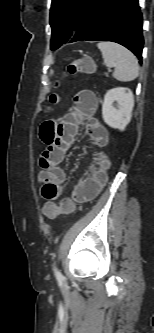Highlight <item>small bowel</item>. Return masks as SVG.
<instances>
[{"instance_id":"c3829d8e","label":"small bowel","mask_w":154,"mask_h":333,"mask_svg":"<svg viewBox=\"0 0 154 333\" xmlns=\"http://www.w3.org/2000/svg\"><path fill=\"white\" fill-rule=\"evenodd\" d=\"M98 108V99L91 90L79 91L73 99V107L69 113L58 120H45L39 128V138L45 145L40 156L41 170L38 181L41 184L43 198L53 202L58 199L66 178L60 164L66 152L73 144L81 125L93 142L94 147L102 151L109 142L107 129L94 117ZM100 168L80 183L73 191L72 198L79 203L90 201L100 192L107 180L109 161L100 153Z\"/></svg>"}]
</instances>
